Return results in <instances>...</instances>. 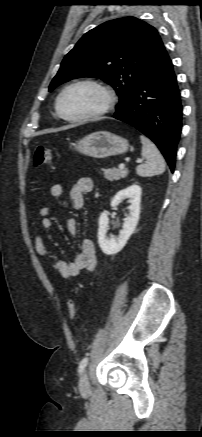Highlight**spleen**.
I'll return each mask as SVG.
<instances>
[{
  "label": "spleen",
  "mask_w": 202,
  "mask_h": 437,
  "mask_svg": "<svg viewBox=\"0 0 202 437\" xmlns=\"http://www.w3.org/2000/svg\"><path fill=\"white\" fill-rule=\"evenodd\" d=\"M142 157L146 159L145 164L136 168V173L142 177H151L162 174L165 171V161L155 144L147 137L141 135Z\"/></svg>",
  "instance_id": "3e777b00"
}]
</instances>
